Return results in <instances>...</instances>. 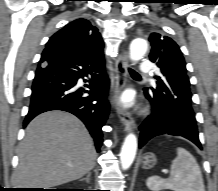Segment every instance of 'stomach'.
<instances>
[{
	"label": "stomach",
	"instance_id": "stomach-1",
	"mask_svg": "<svg viewBox=\"0 0 218 191\" xmlns=\"http://www.w3.org/2000/svg\"><path fill=\"white\" fill-rule=\"evenodd\" d=\"M140 163L144 169H152L157 163V158L154 153L148 152L141 157Z\"/></svg>",
	"mask_w": 218,
	"mask_h": 191
}]
</instances>
